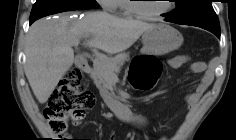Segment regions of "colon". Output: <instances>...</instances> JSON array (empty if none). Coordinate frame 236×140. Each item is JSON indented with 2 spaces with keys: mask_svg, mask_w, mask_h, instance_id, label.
Returning a JSON list of instances; mask_svg holds the SVG:
<instances>
[{
  "mask_svg": "<svg viewBox=\"0 0 236 140\" xmlns=\"http://www.w3.org/2000/svg\"><path fill=\"white\" fill-rule=\"evenodd\" d=\"M162 72L159 60L149 57H136L128 70V80L134 89L151 90ZM96 97L87 89L78 69H70L60 80L51 95L44 114L53 132L63 134L68 121H80L86 110L94 107Z\"/></svg>",
  "mask_w": 236,
  "mask_h": 140,
  "instance_id": "1",
  "label": "colon"
}]
</instances>
